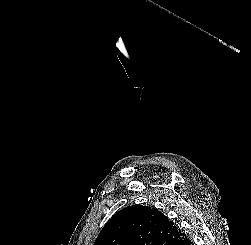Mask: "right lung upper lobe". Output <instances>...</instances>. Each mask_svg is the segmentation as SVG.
Listing matches in <instances>:
<instances>
[{
  "instance_id": "1",
  "label": "right lung upper lobe",
  "mask_w": 251,
  "mask_h": 245,
  "mask_svg": "<svg viewBox=\"0 0 251 245\" xmlns=\"http://www.w3.org/2000/svg\"><path fill=\"white\" fill-rule=\"evenodd\" d=\"M185 236L155 208L128 206L112 216L93 245H174Z\"/></svg>"
}]
</instances>
